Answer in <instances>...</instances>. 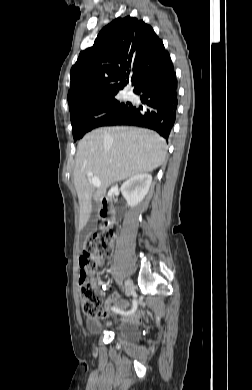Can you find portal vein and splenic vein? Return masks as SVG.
<instances>
[{"mask_svg": "<svg viewBox=\"0 0 252 390\" xmlns=\"http://www.w3.org/2000/svg\"><path fill=\"white\" fill-rule=\"evenodd\" d=\"M87 177L90 178L91 184H92L94 187L98 188V187L101 186V181H100V179H99L98 177L93 176L92 173H88V174H87Z\"/></svg>", "mask_w": 252, "mask_h": 390, "instance_id": "obj_1", "label": "portal vein and splenic vein"}]
</instances>
